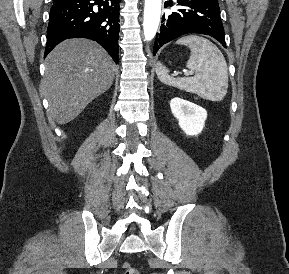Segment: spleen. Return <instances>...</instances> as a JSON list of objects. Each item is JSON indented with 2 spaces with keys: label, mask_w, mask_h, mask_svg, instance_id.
<instances>
[{
  "label": "spleen",
  "mask_w": 289,
  "mask_h": 274,
  "mask_svg": "<svg viewBox=\"0 0 289 274\" xmlns=\"http://www.w3.org/2000/svg\"><path fill=\"white\" fill-rule=\"evenodd\" d=\"M178 45H187L191 54L186 67L194 76L174 78L160 62L156 66L158 79L166 85L194 93L210 101H221L228 89V68L226 60L211 41L188 35L176 41Z\"/></svg>",
  "instance_id": "obj_1"
}]
</instances>
